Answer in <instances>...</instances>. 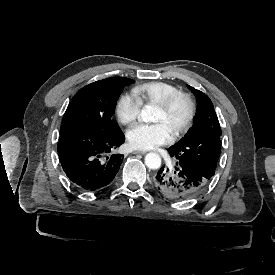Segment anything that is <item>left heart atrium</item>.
Masks as SVG:
<instances>
[{"label": "left heart atrium", "mask_w": 275, "mask_h": 275, "mask_svg": "<svg viewBox=\"0 0 275 275\" xmlns=\"http://www.w3.org/2000/svg\"><path fill=\"white\" fill-rule=\"evenodd\" d=\"M173 134L161 122L139 123L127 131V141L134 149L147 150L172 140Z\"/></svg>", "instance_id": "left-heart-atrium-1"}]
</instances>
